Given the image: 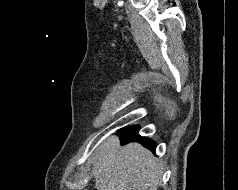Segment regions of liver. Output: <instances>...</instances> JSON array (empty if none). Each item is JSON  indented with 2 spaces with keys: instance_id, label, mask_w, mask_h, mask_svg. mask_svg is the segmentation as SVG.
Here are the masks:
<instances>
[{
  "instance_id": "1",
  "label": "liver",
  "mask_w": 238,
  "mask_h": 190,
  "mask_svg": "<svg viewBox=\"0 0 238 190\" xmlns=\"http://www.w3.org/2000/svg\"><path fill=\"white\" fill-rule=\"evenodd\" d=\"M94 178L97 190H157L161 164L139 143L120 147L112 135L99 146Z\"/></svg>"
}]
</instances>
